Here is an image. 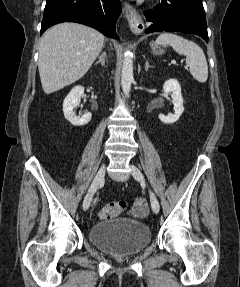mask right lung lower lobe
I'll return each mask as SVG.
<instances>
[{"instance_id":"1","label":"right lung lower lobe","mask_w":240,"mask_h":287,"mask_svg":"<svg viewBox=\"0 0 240 287\" xmlns=\"http://www.w3.org/2000/svg\"><path fill=\"white\" fill-rule=\"evenodd\" d=\"M120 14V0H47L40 34L61 22H77L119 39L116 22Z\"/></svg>"}]
</instances>
